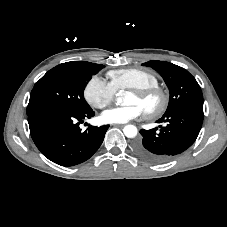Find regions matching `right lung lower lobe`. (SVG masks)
Segmentation results:
<instances>
[{"label": "right lung lower lobe", "instance_id": "1", "mask_svg": "<svg viewBox=\"0 0 227 227\" xmlns=\"http://www.w3.org/2000/svg\"><path fill=\"white\" fill-rule=\"evenodd\" d=\"M90 108L68 111L38 109L28 114L31 137L41 153L61 166H73L89 159L100 147L109 125L90 126L82 132L79 124L94 116Z\"/></svg>", "mask_w": 227, "mask_h": 227}]
</instances>
